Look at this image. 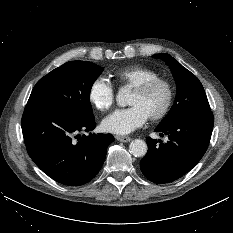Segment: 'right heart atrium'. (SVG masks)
<instances>
[{
	"mask_svg": "<svg viewBox=\"0 0 233 233\" xmlns=\"http://www.w3.org/2000/svg\"><path fill=\"white\" fill-rule=\"evenodd\" d=\"M88 98L95 109L108 111L115 102V88L106 78L98 77L89 87Z\"/></svg>",
	"mask_w": 233,
	"mask_h": 233,
	"instance_id": "d8ad5b80",
	"label": "right heart atrium"
}]
</instances>
